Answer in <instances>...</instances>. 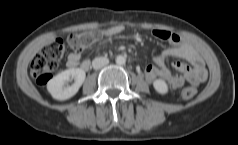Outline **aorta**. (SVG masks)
Here are the masks:
<instances>
[{
  "mask_svg": "<svg viewBox=\"0 0 238 145\" xmlns=\"http://www.w3.org/2000/svg\"><path fill=\"white\" fill-rule=\"evenodd\" d=\"M116 63H117L118 65H123V64H125V63H126V58H125V56H123V55H118V56L116 57Z\"/></svg>",
  "mask_w": 238,
  "mask_h": 145,
  "instance_id": "aorta-1",
  "label": "aorta"
}]
</instances>
